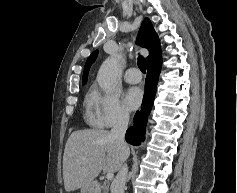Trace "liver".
I'll list each match as a JSON object with an SVG mask.
<instances>
[{
    "mask_svg": "<svg viewBox=\"0 0 237 193\" xmlns=\"http://www.w3.org/2000/svg\"><path fill=\"white\" fill-rule=\"evenodd\" d=\"M122 164L123 151L109 131H75L68 138L63 155L65 190L75 191L92 183L102 170L115 173Z\"/></svg>",
    "mask_w": 237,
    "mask_h": 193,
    "instance_id": "6515ba94",
    "label": "liver"
}]
</instances>
